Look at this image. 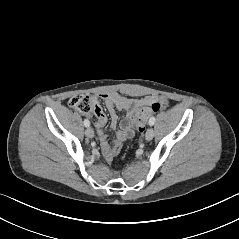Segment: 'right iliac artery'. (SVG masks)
<instances>
[{
    "mask_svg": "<svg viewBox=\"0 0 239 239\" xmlns=\"http://www.w3.org/2000/svg\"><path fill=\"white\" fill-rule=\"evenodd\" d=\"M84 125H85V127H89L90 126V122H89L88 119L84 120Z\"/></svg>",
    "mask_w": 239,
    "mask_h": 239,
    "instance_id": "82829eb1",
    "label": "right iliac artery"
}]
</instances>
